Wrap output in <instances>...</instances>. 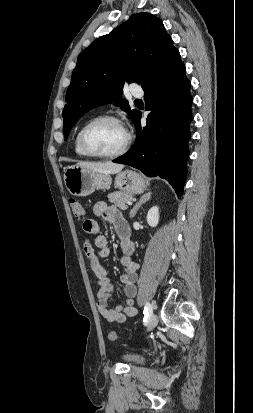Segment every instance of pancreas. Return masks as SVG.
Segmentation results:
<instances>
[{
  "mask_svg": "<svg viewBox=\"0 0 253 413\" xmlns=\"http://www.w3.org/2000/svg\"><path fill=\"white\" fill-rule=\"evenodd\" d=\"M108 200L121 210H126L128 208L127 202L131 201L133 198L132 193H127L123 191H117L108 194Z\"/></svg>",
  "mask_w": 253,
  "mask_h": 413,
  "instance_id": "cf45deb5",
  "label": "pancreas"
}]
</instances>
